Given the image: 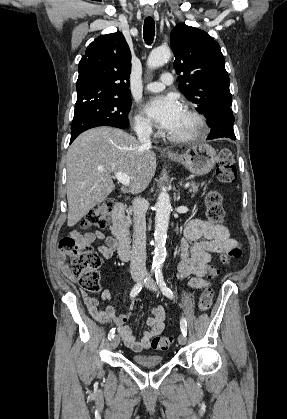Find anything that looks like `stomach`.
I'll use <instances>...</instances> for the list:
<instances>
[{"label":"stomach","mask_w":287,"mask_h":419,"mask_svg":"<svg viewBox=\"0 0 287 419\" xmlns=\"http://www.w3.org/2000/svg\"><path fill=\"white\" fill-rule=\"evenodd\" d=\"M171 160L181 163L191 173L198 176L208 174L215 166L217 155L208 144H197L188 148L181 155L170 156Z\"/></svg>","instance_id":"1"}]
</instances>
